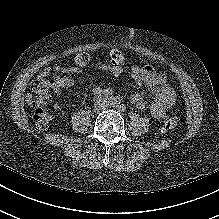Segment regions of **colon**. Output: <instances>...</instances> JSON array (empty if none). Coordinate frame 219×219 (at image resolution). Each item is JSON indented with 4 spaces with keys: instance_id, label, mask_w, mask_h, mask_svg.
Here are the masks:
<instances>
[{
    "instance_id": "obj_1",
    "label": "colon",
    "mask_w": 219,
    "mask_h": 219,
    "mask_svg": "<svg viewBox=\"0 0 219 219\" xmlns=\"http://www.w3.org/2000/svg\"><path fill=\"white\" fill-rule=\"evenodd\" d=\"M89 61V56L86 53H80L75 57V63L85 65ZM31 104L34 109V123L37 130L48 128L53 120L54 114L48 107L50 99V73L43 72L31 85ZM176 127V119L173 117L167 118L160 131L163 134L170 133Z\"/></svg>"
}]
</instances>
